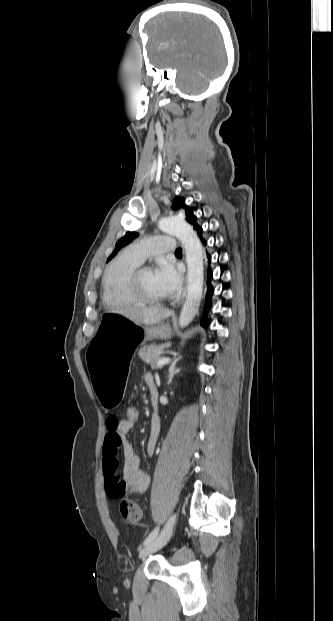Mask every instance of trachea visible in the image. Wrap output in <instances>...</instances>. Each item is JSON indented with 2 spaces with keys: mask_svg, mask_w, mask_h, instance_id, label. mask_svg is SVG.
Instances as JSON below:
<instances>
[{
  "mask_svg": "<svg viewBox=\"0 0 333 621\" xmlns=\"http://www.w3.org/2000/svg\"><path fill=\"white\" fill-rule=\"evenodd\" d=\"M175 253H176V254H180V253H182V249H181V248H177V249H176V251H175Z\"/></svg>",
  "mask_w": 333,
  "mask_h": 621,
  "instance_id": "obj_1",
  "label": "trachea"
}]
</instances>
